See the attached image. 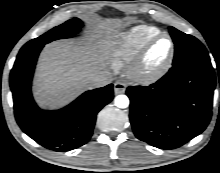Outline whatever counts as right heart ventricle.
Returning a JSON list of instances; mask_svg holds the SVG:
<instances>
[{
    "instance_id": "1",
    "label": "right heart ventricle",
    "mask_w": 220,
    "mask_h": 173,
    "mask_svg": "<svg viewBox=\"0 0 220 173\" xmlns=\"http://www.w3.org/2000/svg\"><path fill=\"white\" fill-rule=\"evenodd\" d=\"M160 30L153 26H134L109 41L111 66L116 70H123L135 59L141 47Z\"/></svg>"
}]
</instances>
